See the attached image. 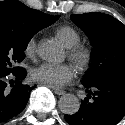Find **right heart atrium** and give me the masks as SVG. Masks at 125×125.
<instances>
[{
	"label": "right heart atrium",
	"instance_id": "d8ad5b80",
	"mask_svg": "<svg viewBox=\"0 0 125 125\" xmlns=\"http://www.w3.org/2000/svg\"><path fill=\"white\" fill-rule=\"evenodd\" d=\"M36 49H37V40L35 37H32L26 42L24 53L28 57H33L36 53Z\"/></svg>",
	"mask_w": 125,
	"mask_h": 125
}]
</instances>
